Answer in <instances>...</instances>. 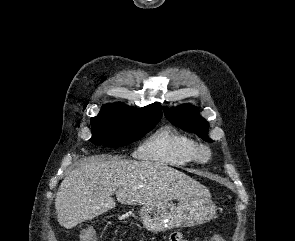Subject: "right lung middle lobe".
I'll list each match as a JSON object with an SVG mask.
<instances>
[{"mask_svg":"<svg viewBox=\"0 0 295 241\" xmlns=\"http://www.w3.org/2000/svg\"><path fill=\"white\" fill-rule=\"evenodd\" d=\"M160 118L122 103L107 104L96 117L91 118L90 141L106 147L125 146L152 130Z\"/></svg>","mask_w":295,"mask_h":241,"instance_id":"1","label":"right lung middle lobe"}]
</instances>
